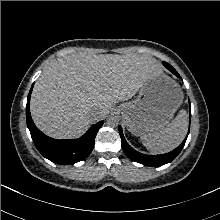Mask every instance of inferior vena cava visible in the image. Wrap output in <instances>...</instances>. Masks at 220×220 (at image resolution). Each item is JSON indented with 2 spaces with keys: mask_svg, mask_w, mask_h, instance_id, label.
Wrapping results in <instances>:
<instances>
[{
  "mask_svg": "<svg viewBox=\"0 0 220 220\" xmlns=\"http://www.w3.org/2000/svg\"><path fill=\"white\" fill-rule=\"evenodd\" d=\"M91 114H92V115H96L97 112H96L95 110H92V111H91Z\"/></svg>",
  "mask_w": 220,
  "mask_h": 220,
  "instance_id": "inferior-vena-cava-1",
  "label": "inferior vena cava"
}]
</instances>
